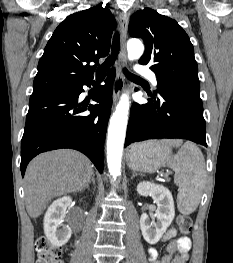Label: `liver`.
Masks as SVG:
<instances>
[{"label": "liver", "mask_w": 233, "mask_h": 263, "mask_svg": "<svg viewBox=\"0 0 233 263\" xmlns=\"http://www.w3.org/2000/svg\"><path fill=\"white\" fill-rule=\"evenodd\" d=\"M94 174L90 160L75 150H56L35 157L25 174V205L31 218L39 217L48 203L89 186Z\"/></svg>", "instance_id": "1"}]
</instances>
